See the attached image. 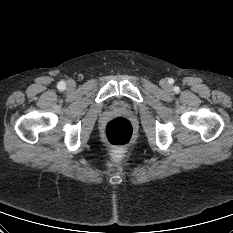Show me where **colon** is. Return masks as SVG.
Masks as SVG:
<instances>
[{
  "instance_id": "colon-1",
  "label": "colon",
  "mask_w": 233,
  "mask_h": 233,
  "mask_svg": "<svg viewBox=\"0 0 233 233\" xmlns=\"http://www.w3.org/2000/svg\"><path fill=\"white\" fill-rule=\"evenodd\" d=\"M134 130L131 122L124 117L110 120L104 129V138L112 146L124 147L131 143Z\"/></svg>"
}]
</instances>
